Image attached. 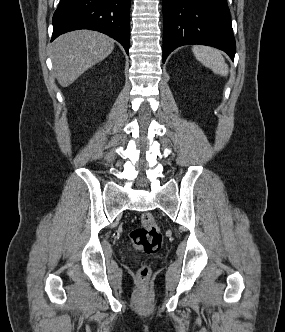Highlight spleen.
I'll use <instances>...</instances> for the list:
<instances>
[{"label": "spleen", "instance_id": "1", "mask_svg": "<svg viewBox=\"0 0 285 332\" xmlns=\"http://www.w3.org/2000/svg\"><path fill=\"white\" fill-rule=\"evenodd\" d=\"M193 54L204 66L210 68L215 74L227 76L228 65L225 63L221 52L215 48L196 45L192 48Z\"/></svg>", "mask_w": 285, "mask_h": 332}]
</instances>
